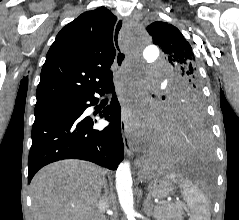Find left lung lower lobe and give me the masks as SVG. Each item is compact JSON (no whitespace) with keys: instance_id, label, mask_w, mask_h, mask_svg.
Here are the masks:
<instances>
[{"instance_id":"left-lung-lower-lobe-1","label":"left lung lower lobe","mask_w":239,"mask_h":220,"mask_svg":"<svg viewBox=\"0 0 239 220\" xmlns=\"http://www.w3.org/2000/svg\"><path fill=\"white\" fill-rule=\"evenodd\" d=\"M170 145L159 164H200L212 158L213 151L205 111L193 108L185 112L168 111Z\"/></svg>"}]
</instances>
